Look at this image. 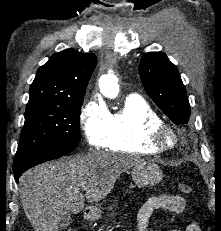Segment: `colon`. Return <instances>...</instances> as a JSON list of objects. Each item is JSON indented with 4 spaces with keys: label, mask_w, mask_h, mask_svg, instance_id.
Returning <instances> with one entry per match:
<instances>
[{
    "label": "colon",
    "mask_w": 221,
    "mask_h": 231,
    "mask_svg": "<svg viewBox=\"0 0 221 231\" xmlns=\"http://www.w3.org/2000/svg\"><path fill=\"white\" fill-rule=\"evenodd\" d=\"M179 190L184 195H192L193 194V188L191 185L187 183H180L179 184ZM68 231H75V230H68Z\"/></svg>",
    "instance_id": "obj_1"
}]
</instances>
